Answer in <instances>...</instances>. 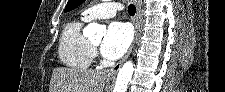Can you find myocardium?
<instances>
[{"mask_svg":"<svg viewBox=\"0 0 225 92\" xmlns=\"http://www.w3.org/2000/svg\"><path fill=\"white\" fill-rule=\"evenodd\" d=\"M93 49H94V50L96 49V46H95V45H93Z\"/></svg>","mask_w":225,"mask_h":92,"instance_id":"1","label":"myocardium"}]
</instances>
